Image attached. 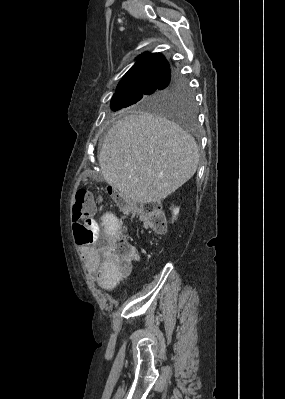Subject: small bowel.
<instances>
[{
  "label": "small bowel",
  "mask_w": 285,
  "mask_h": 399,
  "mask_svg": "<svg viewBox=\"0 0 285 399\" xmlns=\"http://www.w3.org/2000/svg\"><path fill=\"white\" fill-rule=\"evenodd\" d=\"M84 230L81 231V235H87V231H98L100 229V225H102L105 230L109 233L113 232L117 228V219L112 215H106L101 218L100 222L92 221L91 224H87L83 222ZM100 247L88 244L83 247V256L86 259L87 266L89 268H96L97 273V281L99 286L109 291L115 287V285L120 280L119 273L115 270V268L111 265L108 259L101 260ZM133 251L137 253V247H133Z\"/></svg>",
  "instance_id": "small-bowel-1"
}]
</instances>
